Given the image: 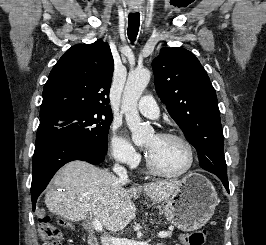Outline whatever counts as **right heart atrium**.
<instances>
[{"label":"right heart atrium","instance_id":"d8ad5b80","mask_svg":"<svg viewBox=\"0 0 266 245\" xmlns=\"http://www.w3.org/2000/svg\"><path fill=\"white\" fill-rule=\"evenodd\" d=\"M108 143L110 155L115 161L131 168H135L139 165L141 161L139 153L133 145L119 133L117 128H111Z\"/></svg>","mask_w":266,"mask_h":245}]
</instances>
